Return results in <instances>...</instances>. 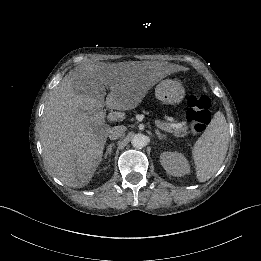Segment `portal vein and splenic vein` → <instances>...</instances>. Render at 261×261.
I'll list each match as a JSON object with an SVG mask.
<instances>
[{"label": "portal vein and splenic vein", "instance_id": "18ae733b", "mask_svg": "<svg viewBox=\"0 0 261 261\" xmlns=\"http://www.w3.org/2000/svg\"><path fill=\"white\" fill-rule=\"evenodd\" d=\"M101 123H103V121H101ZM157 126H158L160 129H162V130H166V128H165L163 125H157ZM171 127H173V128H180V127H182V124H181V123L172 124ZM175 143H177V140L172 141V144H175Z\"/></svg>", "mask_w": 261, "mask_h": 261}]
</instances>
